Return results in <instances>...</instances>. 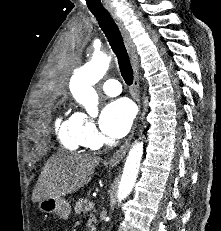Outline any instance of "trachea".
<instances>
[{"mask_svg":"<svg viewBox=\"0 0 221 231\" xmlns=\"http://www.w3.org/2000/svg\"><path fill=\"white\" fill-rule=\"evenodd\" d=\"M96 17L99 26L105 33L108 42L115 53L120 68L121 75L127 85L133 83V69L129 61L120 30L110 14L106 10L91 11Z\"/></svg>","mask_w":221,"mask_h":231,"instance_id":"obj_1","label":"trachea"}]
</instances>
